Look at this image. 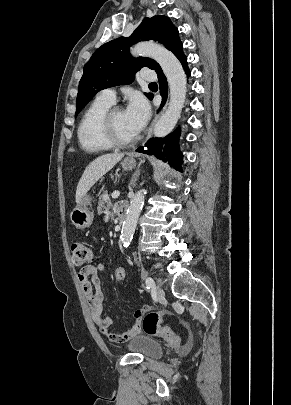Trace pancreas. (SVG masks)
I'll list each match as a JSON object with an SVG mask.
<instances>
[{"instance_id":"1","label":"pancreas","mask_w":291,"mask_h":405,"mask_svg":"<svg viewBox=\"0 0 291 405\" xmlns=\"http://www.w3.org/2000/svg\"><path fill=\"white\" fill-rule=\"evenodd\" d=\"M107 206V207H106ZM111 206V201L109 199V197L107 196V192H103V194L99 197V202H98V214H102L104 213L106 209H108V207Z\"/></svg>"}]
</instances>
